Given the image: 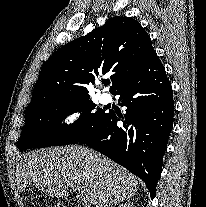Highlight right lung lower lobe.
Returning <instances> with one entry per match:
<instances>
[{"label": "right lung lower lobe", "instance_id": "right-lung-lower-lobe-1", "mask_svg": "<svg viewBox=\"0 0 206 207\" xmlns=\"http://www.w3.org/2000/svg\"><path fill=\"white\" fill-rule=\"evenodd\" d=\"M126 114L109 110L106 118L79 143L87 144L142 179L153 199L163 155L173 127L174 102L165 68L156 55L137 76L121 85ZM123 121V127L117 121Z\"/></svg>", "mask_w": 206, "mask_h": 207}]
</instances>
